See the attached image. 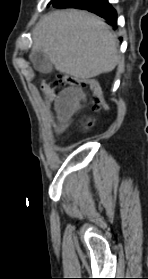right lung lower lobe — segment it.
I'll return each instance as SVG.
<instances>
[{"mask_svg":"<svg viewBox=\"0 0 148 279\" xmlns=\"http://www.w3.org/2000/svg\"><path fill=\"white\" fill-rule=\"evenodd\" d=\"M56 8H78L93 12L107 21L116 29L117 14L107 0H52Z\"/></svg>","mask_w":148,"mask_h":279,"instance_id":"1","label":"right lung lower lobe"}]
</instances>
